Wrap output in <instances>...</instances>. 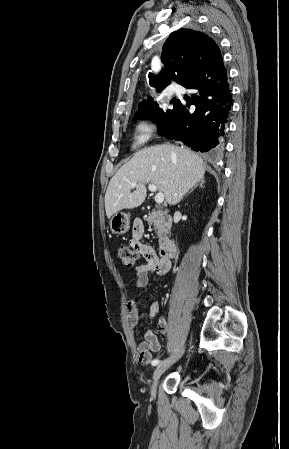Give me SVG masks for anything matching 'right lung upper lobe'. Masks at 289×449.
<instances>
[{
	"label": "right lung upper lobe",
	"mask_w": 289,
	"mask_h": 449,
	"mask_svg": "<svg viewBox=\"0 0 289 449\" xmlns=\"http://www.w3.org/2000/svg\"><path fill=\"white\" fill-rule=\"evenodd\" d=\"M161 61L164 64L161 73L156 76L149 74L150 85L159 92L171 82L185 86L203 81L223 66L215 41L192 29H179L170 34L163 45Z\"/></svg>",
	"instance_id": "1"
}]
</instances>
